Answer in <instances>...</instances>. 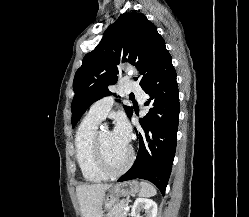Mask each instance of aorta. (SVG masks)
Wrapping results in <instances>:
<instances>
[{
  "instance_id": "obj_1",
  "label": "aorta",
  "mask_w": 249,
  "mask_h": 217,
  "mask_svg": "<svg viewBox=\"0 0 249 217\" xmlns=\"http://www.w3.org/2000/svg\"><path fill=\"white\" fill-rule=\"evenodd\" d=\"M123 69H124L125 71H129V72H132V73H134L135 75H137L136 69H135L134 67H132V66H127V67L123 66Z\"/></svg>"
}]
</instances>
